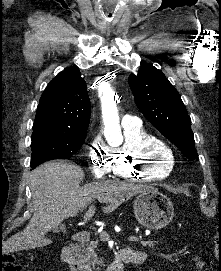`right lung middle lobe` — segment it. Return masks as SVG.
Masks as SVG:
<instances>
[{
    "label": "right lung middle lobe",
    "instance_id": "1",
    "mask_svg": "<svg viewBox=\"0 0 221 271\" xmlns=\"http://www.w3.org/2000/svg\"><path fill=\"white\" fill-rule=\"evenodd\" d=\"M86 134L33 132L31 143L32 169L49 160L70 158L83 145Z\"/></svg>",
    "mask_w": 221,
    "mask_h": 271
}]
</instances>
